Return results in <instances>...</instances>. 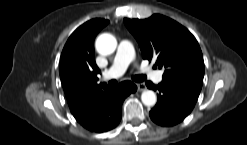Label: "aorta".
Listing matches in <instances>:
<instances>
[{"mask_svg":"<svg viewBox=\"0 0 247 145\" xmlns=\"http://www.w3.org/2000/svg\"><path fill=\"white\" fill-rule=\"evenodd\" d=\"M117 47L116 38L108 33L101 34L96 40V49L103 55L112 54ZM141 100L145 106H154L157 102L155 92L144 90L141 94Z\"/></svg>","mask_w":247,"mask_h":145,"instance_id":"762f6f07","label":"aorta"}]
</instances>
